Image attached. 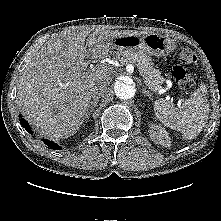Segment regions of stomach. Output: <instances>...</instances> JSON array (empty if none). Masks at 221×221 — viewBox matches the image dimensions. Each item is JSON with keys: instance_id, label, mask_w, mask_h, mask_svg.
I'll return each instance as SVG.
<instances>
[{"instance_id": "1", "label": "stomach", "mask_w": 221, "mask_h": 221, "mask_svg": "<svg viewBox=\"0 0 221 221\" xmlns=\"http://www.w3.org/2000/svg\"><path fill=\"white\" fill-rule=\"evenodd\" d=\"M112 49L118 52L146 53L150 56H165L176 48L174 40L156 33L129 34L115 38Z\"/></svg>"}]
</instances>
